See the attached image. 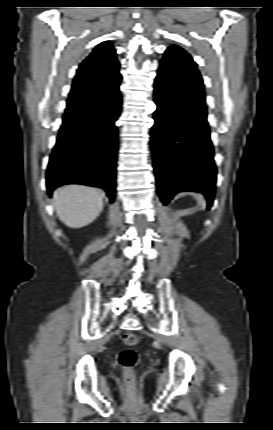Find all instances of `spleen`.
<instances>
[{"instance_id":"obj_1","label":"spleen","mask_w":273,"mask_h":430,"mask_svg":"<svg viewBox=\"0 0 273 430\" xmlns=\"http://www.w3.org/2000/svg\"><path fill=\"white\" fill-rule=\"evenodd\" d=\"M195 196H196V199H197L198 203H199L203 208H205V202H204L203 197H202L201 195H199V194H195Z\"/></svg>"}]
</instances>
